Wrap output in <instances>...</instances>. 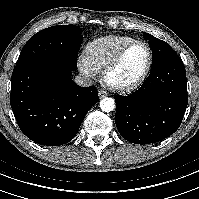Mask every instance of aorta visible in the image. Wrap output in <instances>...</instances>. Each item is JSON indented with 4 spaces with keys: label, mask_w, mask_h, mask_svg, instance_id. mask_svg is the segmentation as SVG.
I'll return each mask as SVG.
<instances>
[{
    "label": "aorta",
    "mask_w": 199,
    "mask_h": 199,
    "mask_svg": "<svg viewBox=\"0 0 199 199\" xmlns=\"http://www.w3.org/2000/svg\"><path fill=\"white\" fill-rule=\"evenodd\" d=\"M100 108L104 112H111L115 108V102L112 98L106 97L100 101Z\"/></svg>",
    "instance_id": "obj_1"
}]
</instances>
